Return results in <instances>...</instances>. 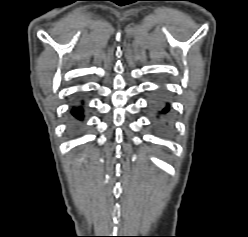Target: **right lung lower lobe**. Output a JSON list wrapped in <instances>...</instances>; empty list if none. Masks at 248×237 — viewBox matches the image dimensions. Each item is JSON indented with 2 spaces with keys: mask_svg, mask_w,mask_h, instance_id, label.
<instances>
[{
  "mask_svg": "<svg viewBox=\"0 0 248 237\" xmlns=\"http://www.w3.org/2000/svg\"><path fill=\"white\" fill-rule=\"evenodd\" d=\"M73 115L78 118L81 119L82 118V110L81 108H76L73 110Z\"/></svg>",
  "mask_w": 248,
  "mask_h": 237,
  "instance_id": "1",
  "label": "right lung lower lobe"
}]
</instances>
